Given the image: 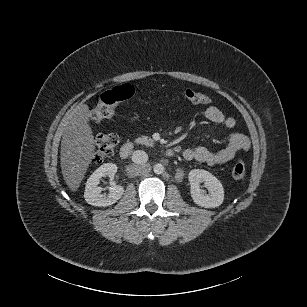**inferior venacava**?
Listing matches in <instances>:
<instances>
[{
  "mask_svg": "<svg viewBox=\"0 0 307 307\" xmlns=\"http://www.w3.org/2000/svg\"><path fill=\"white\" fill-rule=\"evenodd\" d=\"M132 161L135 164H144L148 161V155L142 150L135 151L132 155Z\"/></svg>",
  "mask_w": 307,
  "mask_h": 307,
  "instance_id": "obj_1",
  "label": "inferior vena cava"
}]
</instances>
